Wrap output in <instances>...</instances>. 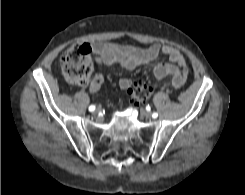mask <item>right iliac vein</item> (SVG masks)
I'll list each match as a JSON object with an SVG mask.
<instances>
[{"label":"right iliac vein","mask_w":245,"mask_h":195,"mask_svg":"<svg viewBox=\"0 0 245 195\" xmlns=\"http://www.w3.org/2000/svg\"><path fill=\"white\" fill-rule=\"evenodd\" d=\"M99 112V108H97L95 111H94V114H98Z\"/></svg>","instance_id":"obj_1"}]
</instances>
